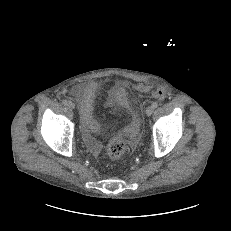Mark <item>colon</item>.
<instances>
[{"mask_svg": "<svg viewBox=\"0 0 231 231\" xmlns=\"http://www.w3.org/2000/svg\"><path fill=\"white\" fill-rule=\"evenodd\" d=\"M136 88L141 92H146L149 90L148 85L144 83L137 84ZM113 93L116 96L125 99L126 87L123 85H116L113 88ZM153 96L155 98L163 99L165 97V93L162 89H157L153 93ZM125 150H126V144L124 139L119 136H115L109 140L106 151L109 159L117 160L124 154Z\"/></svg>", "mask_w": 231, "mask_h": 231, "instance_id": "obj_1", "label": "colon"}]
</instances>
